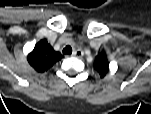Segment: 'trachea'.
Returning <instances> with one entry per match:
<instances>
[{
  "instance_id": "3493384b",
  "label": "trachea",
  "mask_w": 151,
  "mask_h": 114,
  "mask_svg": "<svg viewBox=\"0 0 151 114\" xmlns=\"http://www.w3.org/2000/svg\"><path fill=\"white\" fill-rule=\"evenodd\" d=\"M63 53L64 54H71L72 53V47L67 45L64 49H63Z\"/></svg>"
}]
</instances>
